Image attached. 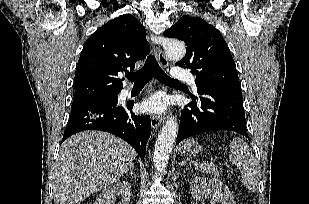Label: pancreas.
Masks as SVG:
<instances>
[{"instance_id": "cf45deb5", "label": "pancreas", "mask_w": 309, "mask_h": 204, "mask_svg": "<svg viewBox=\"0 0 309 204\" xmlns=\"http://www.w3.org/2000/svg\"><path fill=\"white\" fill-rule=\"evenodd\" d=\"M200 171L205 172L207 174H211L214 176H220L221 171L218 170L217 166L215 163H207L198 168Z\"/></svg>"}]
</instances>
